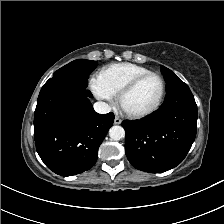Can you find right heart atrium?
<instances>
[{
  "label": "right heart atrium",
  "mask_w": 224,
  "mask_h": 224,
  "mask_svg": "<svg viewBox=\"0 0 224 224\" xmlns=\"http://www.w3.org/2000/svg\"><path fill=\"white\" fill-rule=\"evenodd\" d=\"M90 88L98 99L105 102H111L113 100V95L105 89L99 77H93L90 80Z\"/></svg>",
  "instance_id": "obj_1"
}]
</instances>
